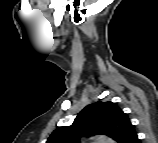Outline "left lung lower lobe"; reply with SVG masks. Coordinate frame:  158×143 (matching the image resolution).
<instances>
[{"label": "left lung lower lobe", "instance_id": "obj_1", "mask_svg": "<svg viewBox=\"0 0 158 143\" xmlns=\"http://www.w3.org/2000/svg\"><path fill=\"white\" fill-rule=\"evenodd\" d=\"M139 139L137 135L130 141V143H138Z\"/></svg>", "mask_w": 158, "mask_h": 143}]
</instances>
